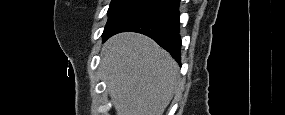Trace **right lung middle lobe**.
I'll use <instances>...</instances> for the list:
<instances>
[{
  "instance_id": "1",
  "label": "right lung middle lobe",
  "mask_w": 285,
  "mask_h": 115,
  "mask_svg": "<svg viewBox=\"0 0 285 115\" xmlns=\"http://www.w3.org/2000/svg\"><path fill=\"white\" fill-rule=\"evenodd\" d=\"M155 1L156 0H112L108 9V21L102 35L103 38L125 19Z\"/></svg>"
}]
</instances>
